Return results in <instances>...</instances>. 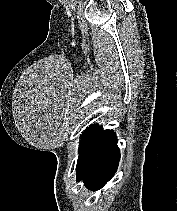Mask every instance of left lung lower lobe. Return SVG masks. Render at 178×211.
Listing matches in <instances>:
<instances>
[{"label": "left lung lower lobe", "mask_w": 178, "mask_h": 211, "mask_svg": "<svg viewBox=\"0 0 178 211\" xmlns=\"http://www.w3.org/2000/svg\"><path fill=\"white\" fill-rule=\"evenodd\" d=\"M120 160L117 138L112 130L92 127L80 142L76 166L77 182L83 180L87 188H102L115 174Z\"/></svg>", "instance_id": "left-lung-lower-lobe-1"}]
</instances>
